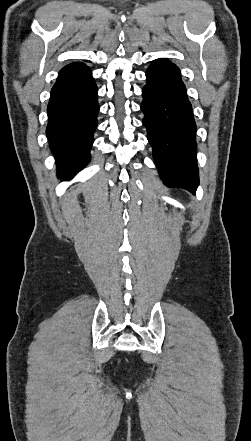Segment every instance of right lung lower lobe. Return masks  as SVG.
Returning a JSON list of instances; mask_svg holds the SVG:
<instances>
[{"label":"right lung lower lobe","instance_id":"right-lung-lower-lobe-1","mask_svg":"<svg viewBox=\"0 0 251 441\" xmlns=\"http://www.w3.org/2000/svg\"><path fill=\"white\" fill-rule=\"evenodd\" d=\"M98 89L86 65L64 67L51 90L46 135L58 176L73 177L90 161L97 127Z\"/></svg>","mask_w":251,"mask_h":441}]
</instances>
